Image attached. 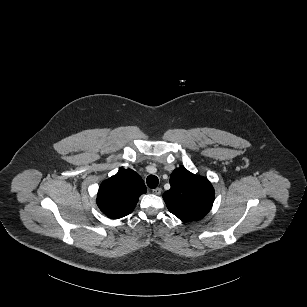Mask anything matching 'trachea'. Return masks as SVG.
<instances>
[{
  "label": "trachea",
  "mask_w": 307,
  "mask_h": 307,
  "mask_svg": "<svg viewBox=\"0 0 307 307\" xmlns=\"http://www.w3.org/2000/svg\"><path fill=\"white\" fill-rule=\"evenodd\" d=\"M148 187L155 189L159 184V179L155 175H149L146 179Z\"/></svg>",
  "instance_id": "3493384b"
}]
</instances>
